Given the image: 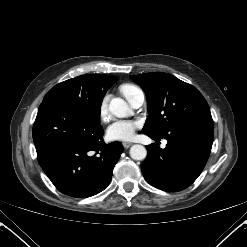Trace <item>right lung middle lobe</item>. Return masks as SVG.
I'll use <instances>...</instances> for the list:
<instances>
[{
  "instance_id": "dd1d6c3e",
  "label": "right lung middle lobe",
  "mask_w": 247,
  "mask_h": 247,
  "mask_svg": "<svg viewBox=\"0 0 247 247\" xmlns=\"http://www.w3.org/2000/svg\"><path fill=\"white\" fill-rule=\"evenodd\" d=\"M107 89L95 74L78 76L54 86L44 97L41 105L58 103L81 110L100 119V109Z\"/></svg>"
}]
</instances>
